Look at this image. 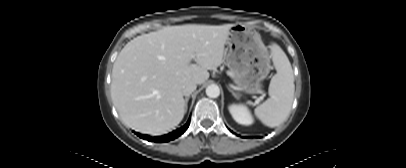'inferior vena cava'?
Masks as SVG:
<instances>
[{
  "label": "inferior vena cava",
  "instance_id": "obj_1",
  "mask_svg": "<svg viewBox=\"0 0 406 168\" xmlns=\"http://www.w3.org/2000/svg\"><path fill=\"white\" fill-rule=\"evenodd\" d=\"M196 87H197V85H196L195 82H193V81L186 82L182 86L183 95L186 96V97L190 96V94L196 90Z\"/></svg>",
  "mask_w": 406,
  "mask_h": 168
}]
</instances>
